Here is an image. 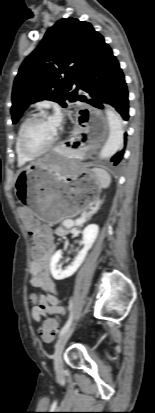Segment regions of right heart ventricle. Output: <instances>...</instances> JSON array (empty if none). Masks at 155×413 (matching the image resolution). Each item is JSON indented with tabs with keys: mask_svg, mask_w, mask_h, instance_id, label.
<instances>
[{
	"mask_svg": "<svg viewBox=\"0 0 155 413\" xmlns=\"http://www.w3.org/2000/svg\"><path fill=\"white\" fill-rule=\"evenodd\" d=\"M28 119H29V117H25L21 121V123L18 127V130H17V133H16V137H15V152H16V157H17V161H18L19 165H24V164H26V163H28L32 160V158L27 157L23 154V152L21 151V148H20V143H19V137H20L21 129H22L23 125L27 122Z\"/></svg>",
	"mask_w": 155,
	"mask_h": 413,
	"instance_id": "1",
	"label": "right heart ventricle"
}]
</instances>
